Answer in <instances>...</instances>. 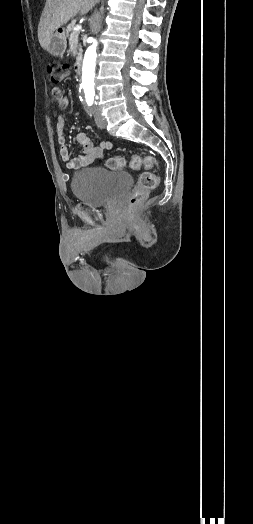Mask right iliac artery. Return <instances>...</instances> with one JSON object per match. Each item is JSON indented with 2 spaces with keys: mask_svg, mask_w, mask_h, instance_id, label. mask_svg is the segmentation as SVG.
Wrapping results in <instances>:
<instances>
[{
  "mask_svg": "<svg viewBox=\"0 0 253 524\" xmlns=\"http://www.w3.org/2000/svg\"><path fill=\"white\" fill-rule=\"evenodd\" d=\"M86 112L88 113V115H90L92 117V115L94 113L92 104H88V106L86 107Z\"/></svg>",
  "mask_w": 253,
  "mask_h": 524,
  "instance_id": "1",
  "label": "right iliac artery"
}]
</instances>
